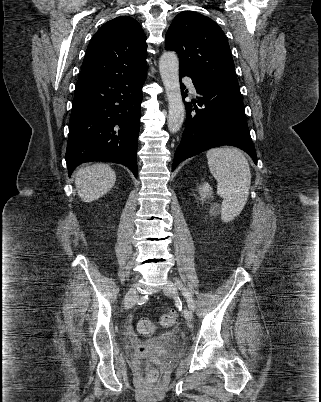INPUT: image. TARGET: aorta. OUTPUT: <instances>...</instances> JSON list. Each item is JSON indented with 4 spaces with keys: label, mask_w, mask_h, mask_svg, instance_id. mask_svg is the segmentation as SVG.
<instances>
[{
    "label": "aorta",
    "mask_w": 321,
    "mask_h": 402,
    "mask_svg": "<svg viewBox=\"0 0 321 402\" xmlns=\"http://www.w3.org/2000/svg\"><path fill=\"white\" fill-rule=\"evenodd\" d=\"M159 71L168 99V128L171 133H176L183 124L185 108L179 83V59L175 52L162 54Z\"/></svg>",
    "instance_id": "obj_1"
}]
</instances>
